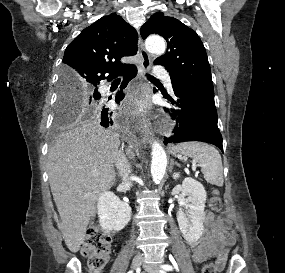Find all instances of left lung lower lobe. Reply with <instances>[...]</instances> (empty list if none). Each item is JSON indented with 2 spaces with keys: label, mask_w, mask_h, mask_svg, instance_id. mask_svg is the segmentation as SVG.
Listing matches in <instances>:
<instances>
[{
  "label": "left lung lower lobe",
  "mask_w": 285,
  "mask_h": 273,
  "mask_svg": "<svg viewBox=\"0 0 285 273\" xmlns=\"http://www.w3.org/2000/svg\"><path fill=\"white\" fill-rule=\"evenodd\" d=\"M177 101L168 97L176 108L168 109L176 120L173 137H164L169 142L203 141L211 143L223 151L222 136L217 126V111L214 91L188 90L173 87Z\"/></svg>",
  "instance_id": "obj_1"
}]
</instances>
